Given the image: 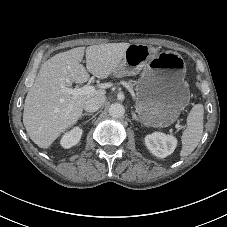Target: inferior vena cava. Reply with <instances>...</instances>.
Listing matches in <instances>:
<instances>
[{
	"label": "inferior vena cava",
	"mask_w": 227,
	"mask_h": 227,
	"mask_svg": "<svg viewBox=\"0 0 227 227\" xmlns=\"http://www.w3.org/2000/svg\"><path fill=\"white\" fill-rule=\"evenodd\" d=\"M105 100V96L92 97L85 102L84 110L87 112H96L104 104Z\"/></svg>",
	"instance_id": "obj_1"
}]
</instances>
